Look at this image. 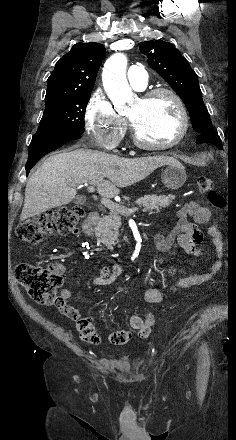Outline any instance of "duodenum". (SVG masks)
<instances>
[{"mask_svg": "<svg viewBox=\"0 0 236 440\" xmlns=\"http://www.w3.org/2000/svg\"><path fill=\"white\" fill-rule=\"evenodd\" d=\"M100 219V213L97 211H92L88 214L85 219L82 230L86 237L93 238L95 234V227Z\"/></svg>", "mask_w": 236, "mask_h": 440, "instance_id": "obj_1", "label": "duodenum"}]
</instances>
